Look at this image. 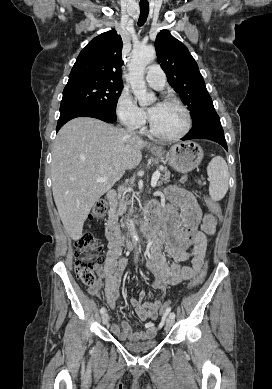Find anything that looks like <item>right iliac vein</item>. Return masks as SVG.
<instances>
[{
	"label": "right iliac vein",
	"mask_w": 272,
	"mask_h": 389,
	"mask_svg": "<svg viewBox=\"0 0 272 389\" xmlns=\"http://www.w3.org/2000/svg\"><path fill=\"white\" fill-rule=\"evenodd\" d=\"M109 321V315L107 313H103L102 315V323L107 324Z\"/></svg>",
	"instance_id": "obj_1"
}]
</instances>
